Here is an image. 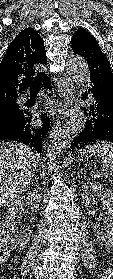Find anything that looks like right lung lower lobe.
Returning <instances> with one entry per match:
<instances>
[{
  "mask_svg": "<svg viewBox=\"0 0 113 279\" xmlns=\"http://www.w3.org/2000/svg\"><path fill=\"white\" fill-rule=\"evenodd\" d=\"M43 87L51 90V82L47 75L42 79ZM43 125L35 128L30 125L31 115L27 111L12 122L0 125V140H14L30 146L41 154L43 137L48 132L50 120L46 114H41Z\"/></svg>",
  "mask_w": 113,
  "mask_h": 279,
  "instance_id": "right-lung-lower-lobe-1",
  "label": "right lung lower lobe"
}]
</instances>
